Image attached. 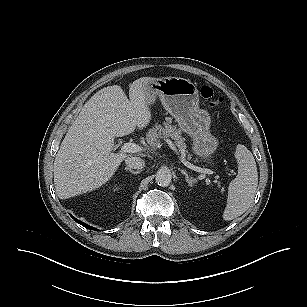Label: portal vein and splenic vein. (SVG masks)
Instances as JSON below:
<instances>
[{
	"instance_id": "18ae733b",
	"label": "portal vein and splenic vein",
	"mask_w": 307,
	"mask_h": 307,
	"mask_svg": "<svg viewBox=\"0 0 307 307\" xmlns=\"http://www.w3.org/2000/svg\"><path fill=\"white\" fill-rule=\"evenodd\" d=\"M166 143L168 144V146L175 151L178 154V151L176 149V147L174 146V144L172 143V141L170 139H166L165 140ZM121 150L123 152H127V153H137V152H141L143 150V148L135 143H124L121 147ZM180 160L181 162L188 168L196 171V172H200L203 174H213L214 172L210 169H203L200 168L198 166H195L193 164H191L190 162H188L185 157L183 155L180 156Z\"/></svg>"
}]
</instances>
